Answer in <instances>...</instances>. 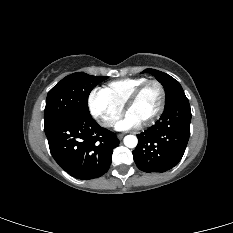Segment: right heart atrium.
Segmentation results:
<instances>
[{
    "instance_id": "obj_1",
    "label": "right heart atrium",
    "mask_w": 233,
    "mask_h": 233,
    "mask_svg": "<svg viewBox=\"0 0 233 233\" xmlns=\"http://www.w3.org/2000/svg\"><path fill=\"white\" fill-rule=\"evenodd\" d=\"M88 108L93 118L103 127H111L121 116L123 107L111 101L103 90H92L88 96Z\"/></svg>"
}]
</instances>
